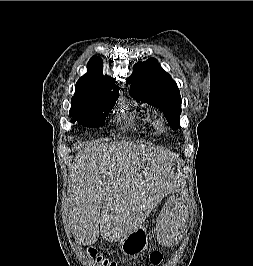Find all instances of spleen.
Listing matches in <instances>:
<instances>
[{"instance_id": "3e777b00", "label": "spleen", "mask_w": 253, "mask_h": 266, "mask_svg": "<svg viewBox=\"0 0 253 266\" xmlns=\"http://www.w3.org/2000/svg\"><path fill=\"white\" fill-rule=\"evenodd\" d=\"M183 224L184 207H165L156 218V235L162 246H179Z\"/></svg>"}]
</instances>
